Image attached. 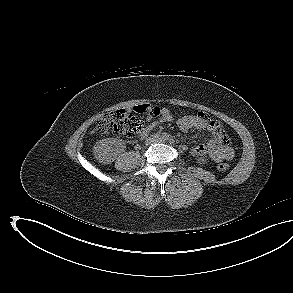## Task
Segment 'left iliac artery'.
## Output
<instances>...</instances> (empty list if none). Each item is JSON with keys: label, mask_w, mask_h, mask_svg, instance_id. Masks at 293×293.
Masks as SVG:
<instances>
[{"label": "left iliac artery", "mask_w": 293, "mask_h": 293, "mask_svg": "<svg viewBox=\"0 0 293 293\" xmlns=\"http://www.w3.org/2000/svg\"><path fill=\"white\" fill-rule=\"evenodd\" d=\"M168 140H169L170 144H173L175 142L173 137H170Z\"/></svg>", "instance_id": "obj_1"}]
</instances>
